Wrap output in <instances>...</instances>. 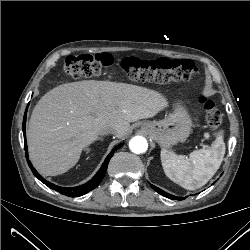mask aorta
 <instances>
[{
	"mask_svg": "<svg viewBox=\"0 0 250 250\" xmlns=\"http://www.w3.org/2000/svg\"><path fill=\"white\" fill-rule=\"evenodd\" d=\"M130 150L136 154L144 153L147 151V140L142 136H135L129 142Z\"/></svg>",
	"mask_w": 250,
	"mask_h": 250,
	"instance_id": "obj_1",
	"label": "aorta"
}]
</instances>
